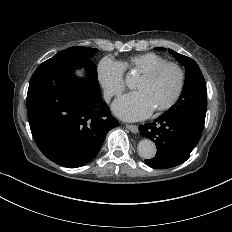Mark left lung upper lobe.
<instances>
[{
    "instance_id": "obj_1",
    "label": "left lung upper lobe",
    "mask_w": 232,
    "mask_h": 232,
    "mask_svg": "<svg viewBox=\"0 0 232 232\" xmlns=\"http://www.w3.org/2000/svg\"><path fill=\"white\" fill-rule=\"evenodd\" d=\"M165 50L164 48H156ZM168 52L185 68V84L178 101L163 115L181 116L204 128L207 109V89L202 72L197 63L171 49Z\"/></svg>"
}]
</instances>
